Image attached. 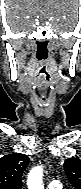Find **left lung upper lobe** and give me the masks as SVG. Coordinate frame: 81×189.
<instances>
[{
    "mask_svg": "<svg viewBox=\"0 0 81 189\" xmlns=\"http://www.w3.org/2000/svg\"><path fill=\"white\" fill-rule=\"evenodd\" d=\"M64 170L74 188L81 189V160L74 157L66 159Z\"/></svg>",
    "mask_w": 81,
    "mask_h": 189,
    "instance_id": "left-lung-upper-lobe-1",
    "label": "left lung upper lobe"
}]
</instances>
